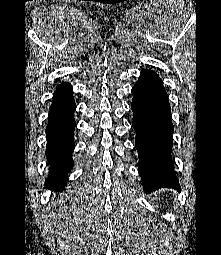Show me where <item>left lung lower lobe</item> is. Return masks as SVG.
Listing matches in <instances>:
<instances>
[{"instance_id": "1", "label": "left lung lower lobe", "mask_w": 221, "mask_h": 255, "mask_svg": "<svg viewBox=\"0 0 221 255\" xmlns=\"http://www.w3.org/2000/svg\"><path fill=\"white\" fill-rule=\"evenodd\" d=\"M132 93V126L143 188L146 192L162 187L180 190L171 160L174 127L163 82L155 72L143 70Z\"/></svg>"}]
</instances>
